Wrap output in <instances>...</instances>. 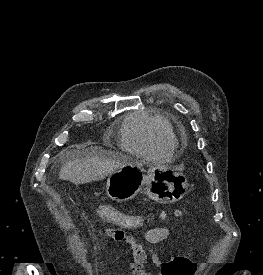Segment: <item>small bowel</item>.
<instances>
[{"instance_id": "1", "label": "small bowel", "mask_w": 263, "mask_h": 275, "mask_svg": "<svg viewBox=\"0 0 263 275\" xmlns=\"http://www.w3.org/2000/svg\"><path fill=\"white\" fill-rule=\"evenodd\" d=\"M105 233L114 240L125 241L130 245L132 250V262L130 264L132 275H144V266L148 259H150L152 264L160 270L162 275H167L165 271L167 264L171 259H162L150 245L165 240L170 234V230L168 228L156 227L147 230L143 235L145 242L148 244L147 246L137 242L132 236L126 234H124L121 238H115V229H108ZM86 250L88 253H92L89 248ZM194 270L195 266L193 265L192 269L188 271L186 275H193Z\"/></svg>"}]
</instances>
